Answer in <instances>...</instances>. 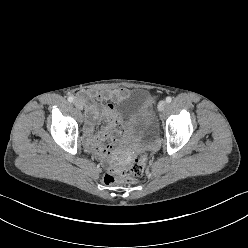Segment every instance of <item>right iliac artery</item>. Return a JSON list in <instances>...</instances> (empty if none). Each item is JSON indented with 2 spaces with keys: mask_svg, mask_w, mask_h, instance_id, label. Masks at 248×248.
Wrapping results in <instances>:
<instances>
[{
  "mask_svg": "<svg viewBox=\"0 0 248 248\" xmlns=\"http://www.w3.org/2000/svg\"><path fill=\"white\" fill-rule=\"evenodd\" d=\"M74 98L72 96L68 97L69 102H73Z\"/></svg>",
  "mask_w": 248,
  "mask_h": 248,
  "instance_id": "1",
  "label": "right iliac artery"
}]
</instances>
